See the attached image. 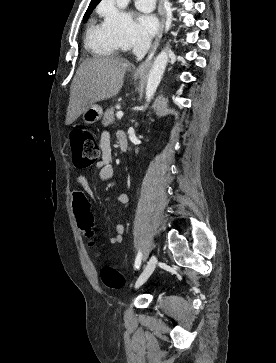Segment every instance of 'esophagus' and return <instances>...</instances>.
I'll list each match as a JSON object with an SVG mask.
<instances>
[{
  "instance_id": "34e87169",
  "label": "esophagus",
  "mask_w": 276,
  "mask_h": 363,
  "mask_svg": "<svg viewBox=\"0 0 276 363\" xmlns=\"http://www.w3.org/2000/svg\"><path fill=\"white\" fill-rule=\"evenodd\" d=\"M159 13H160V16H161V20H160V28H159V32L157 34V37L149 51V54H148V57L146 58V60L141 63L139 65V67L137 68L136 72L138 74H144L148 71V69L150 68L151 66V63H152V58L159 46V42H160V39L162 37V34H163V29H164V24H165V17H166V12H165V7H164V1L161 0L160 1V4H159Z\"/></svg>"
}]
</instances>
